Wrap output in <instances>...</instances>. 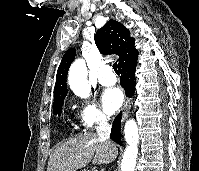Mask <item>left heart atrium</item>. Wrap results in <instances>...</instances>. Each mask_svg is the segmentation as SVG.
<instances>
[{
  "mask_svg": "<svg viewBox=\"0 0 199 171\" xmlns=\"http://www.w3.org/2000/svg\"><path fill=\"white\" fill-rule=\"evenodd\" d=\"M123 101V93L117 87L106 89L101 96L102 106L107 114L115 113L122 106Z\"/></svg>",
  "mask_w": 199,
  "mask_h": 171,
  "instance_id": "1",
  "label": "left heart atrium"
}]
</instances>
